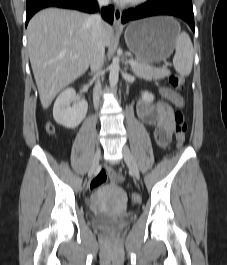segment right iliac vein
Listing matches in <instances>:
<instances>
[{
    "label": "right iliac vein",
    "mask_w": 227,
    "mask_h": 265,
    "mask_svg": "<svg viewBox=\"0 0 227 265\" xmlns=\"http://www.w3.org/2000/svg\"><path fill=\"white\" fill-rule=\"evenodd\" d=\"M99 159H100V149L97 148V151L95 153L93 162H92V166L90 168V174H93L94 171L97 169L98 165H99Z\"/></svg>",
    "instance_id": "1"
}]
</instances>
